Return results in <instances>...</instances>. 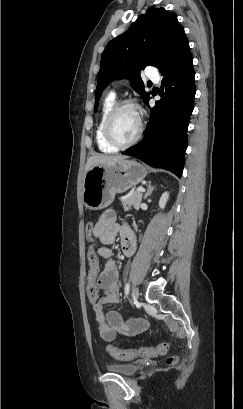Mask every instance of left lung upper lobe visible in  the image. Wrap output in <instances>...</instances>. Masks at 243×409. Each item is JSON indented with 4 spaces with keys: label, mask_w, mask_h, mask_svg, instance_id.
Listing matches in <instances>:
<instances>
[{
    "label": "left lung upper lobe",
    "mask_w": 243,
    "mask_h": 409,
    "mask_svg": "<svg viewBox=\"0 0 243 409\" xmlns=\"http://www.w3.org/2000/svg\"><path fill=\"white\" fill-rule=\"evenodd\" d=\"M187 42L175 13L150 7L124 34L110 41L104 49L97 76L95 111L104 88L116 79L132 80L133 89L146 100L150 92L145 91L140 77L141 69L152 65L161 72Z\"/></svg>",
    "instance_id": "obj_1"
}]
</instances>
